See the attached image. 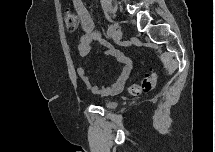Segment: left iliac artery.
Masks as SVG:
<instances>
[{"instance_id": "left-iliac-artery-1", "label": "left iliac artery", "mask_w": 215, "mask_h": 152, "mask_svg": "<svg viewBox=\"0 0 215 152\" xmlns=\"http://www.w3.org/2000/svg\"><path fill=\"white\" fill-rule=\"evenodd\" d=\"M115 30V26L114 25H110L107 29V35L111 36L114 33Z\"/></svg>"}]
</instances>
